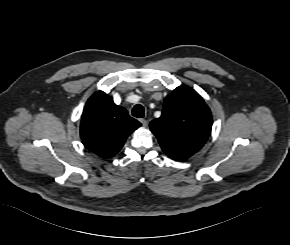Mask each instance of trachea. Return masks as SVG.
<instances>
[{
  "instance_id": "3493384b",
  "label": "trachea",
  "mask_w": 290,
  "mask_h": 245,
  "mask_svg": "<svg viewBox=\"0 0 290 245\" xmlns=\"http://www.w3.org/2000/svg\"><path fill=\"white\" fill-rule=\"evenodd\" d=\"M132 115L137 118L144 117V107L140 104H136L132 110Z\"/></svg>"
}]
</instances>
